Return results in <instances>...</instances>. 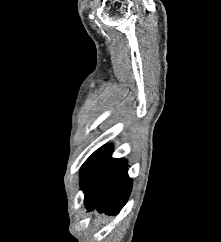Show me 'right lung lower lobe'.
Returning <instances> with one entry per match:
<instances>
[{"instance_id": "1", "label": "right lung lower lobe", "mask_w": 221, "mask_h": 242, "mask_svg": "<svg viewBox=\"0 0 221 242\" xmlns=\"http://www.w3.org/2000/svg\"><path fill=\"white\" fill-rule=\"evenodd\" d=\"M111 153L112 146L101 147L87 159L80 172L86 208L108 215L119 213L132 188L125 160L112 159Z\"/></svg>"}]
</instances>
